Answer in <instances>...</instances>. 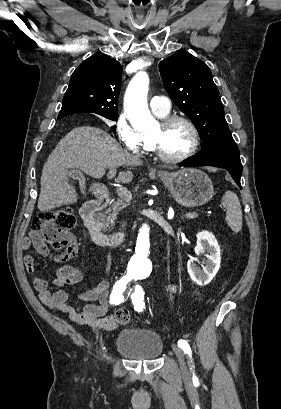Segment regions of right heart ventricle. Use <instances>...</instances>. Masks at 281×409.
<instances>
[{"mask_svg":"<svg viewBox=\"0 0 281 409\" xmlns=\"http://www.w3.org/2000/svg\"><path fill=\"white\" fill-rule=\"evenodd\" d=\"M157 115L160 116V117L164 116V115H160V114H157ZM147 149L148 148H147V143H146L145 137L142 135V136H140L139 144L135 148V150L139 151V150H147Z\"/></svg>","mask_w":281,"mask_h":409,"instance_id":"obj_1","label":"right heart ventricle"}]
</instances>
